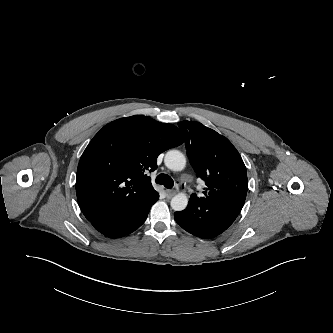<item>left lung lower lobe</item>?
I'll return each instance as SVG.
<instances>
[{
	"mask_svg": "<svg viewBox=\"0 0 333 333\" xmlns=\"http://www.w3.org/2000/svg\"><path fill=\"white\" fill-rule=\"evenodd\" d=\"M246 193L231 188L202 198L191 196L188 206L175 212L176 222L187 232L210 239L224 232L240 213Z\"/></svg>",
	"mask_w": 333,
	"mask_h": 333,
	"instance_id": "0a47b994",
	"label": "left lung lower lobe"
}]
</instances>
